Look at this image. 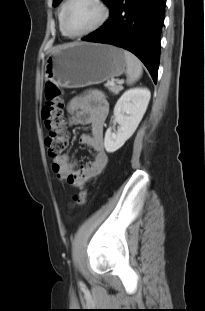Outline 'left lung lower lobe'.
I'll list each match as a JSON object with an SVG mask.
<instances>
[{
  "label": "left lung lower lobe",
  "instance_id": "1",
  "mask_svg": "<svg viewBox=\"0 0 205 311\" xmlns=\"http://www.w3.org/2000/svg\"><path fill=\"white\" fill-rule=\"evenodd\" d=\"M166 0H114L110 18L82 40L112 44L135 54L157 81Z\"/></svg>",
  "mask_w": 205,
  "mask_h": 311
}]
</instances>
